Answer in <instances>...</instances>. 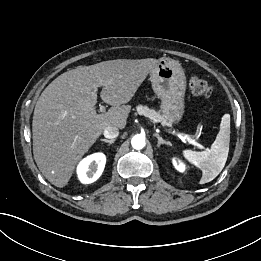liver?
<instances>
[{
  "label": "liver",
  "mask_w": 261,
  "mask_h": 261,
  "mask_svg": "<svg viewBox=\"0 0 261 261\" xmlns=\"http://www.w3.org/2000/svg\"><path fill=\"white\" fill-rule=\"evenodd\" d=\"M158 60L116 59L71 69L53 80L33 115V154L45 178L56 187L69 182L75 166L108 126L124 129L135 95ZM112 107L97 114L96 89Z\"/></svg>",
  "instance_id": "1"
}]
</instances>
